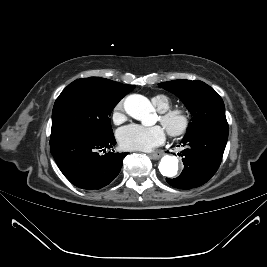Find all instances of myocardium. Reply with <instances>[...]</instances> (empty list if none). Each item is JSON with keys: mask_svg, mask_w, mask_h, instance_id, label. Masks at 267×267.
<instances>
[{"mask_svg": "<svg viewBox=\"0 0 267 267\" xmlns=\"http://www.w3.org/2000/svg\"><path fill=\"white\" fill-rule=\"evenodd\" d=\"M160 121L172 138H179L185 135L191 125L190 116L183 109H168L162 112Z\"/></svg>", "mask_w": 267, "mask_h": 267, "instance_id": "obj_1", "label": "myocardium"}]
</instances>
